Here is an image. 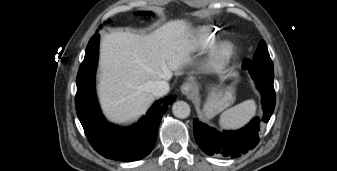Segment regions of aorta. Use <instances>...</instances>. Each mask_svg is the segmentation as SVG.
Wrapping results in <instances>:
<instances>
[{"mask_svg":"<svg viewBox=\"0 0 337 171\" xmlns=\"http://www.w3.org/2000/svg\"><path fill=\"white\" fill-rule=\"evenodd\" d=\"M172 112L175 117L185 119L190 115V106L185 101H177L172 106Z\"/></svg>","mask_w":337,"mask_h":171,"instance_id":"762f6f07","label":"aorta"}]
</instances>
